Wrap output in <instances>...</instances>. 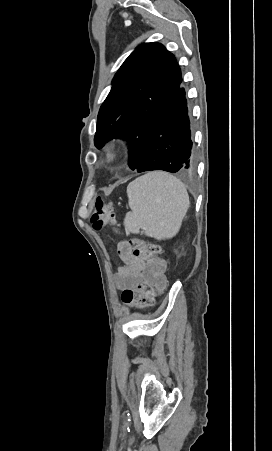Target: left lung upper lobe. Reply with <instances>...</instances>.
Segmentation results:
<instances>
[{
    "label": "left lung upper lobe",
    "mask_w": 272,
    "mask_h": 451,
    "mask_svg": "<svg viewBox=\"0 0 272 451\" xmlns=\"http://www.w3.org/2000/svg\"><path fill=\"white\" fill-rule=\"evenodd\" d=\"M181 83L173 54L159 43L140 45L115 74L99 110L95 146L100 149L113 138L128 140L129 166L136 169L163 108Z\"/></svg>",
    "instance_id": "obj_1"
}]
</instances>
